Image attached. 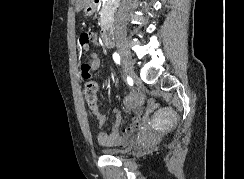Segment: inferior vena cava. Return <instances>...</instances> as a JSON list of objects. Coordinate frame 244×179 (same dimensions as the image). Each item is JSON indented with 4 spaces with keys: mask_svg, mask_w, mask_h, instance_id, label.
Segmentation results:
<instances>
[{
    "mask_svg": "<svg viewBox=\"0 0 244 179\" xmlns=\"http://www.w3.org/2000/svg\"><path fill=\"white\" fill-rule=\"evenodd\" d=\"M115 28H116V34H118V32H123V28L122 26H120V24H116Z\"/></svg>",
    "mask_w": 244,
    "mask_h": 179,
    "instance_id": "inferior-vena-cava-1",
    "label": "inferior vena cava"
}]
</instances>
